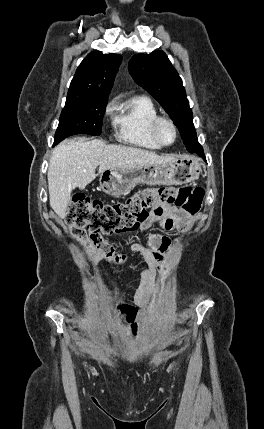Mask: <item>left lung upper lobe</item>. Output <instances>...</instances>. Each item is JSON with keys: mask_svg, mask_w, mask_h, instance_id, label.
Here are the masks:
<instances>
[{"mask_svg": "<svg viewBox=\"0 0 264 429\" xmlns=\"http://www.w3.org/2000/svg\"><path fill=\"white\" fill-rule=\"evenodd\" d=\"M129 70L136 83L153 95L172 118L187 150L195 152L202 149L197 140L192 110L182 79L166 54L159 50L150 54H137L129 62Z\"/></svg>", "mask_w": 264, "mask_h": 429, "instance_id": "1", "label": "left lung upper lobe"}]
</instances>
